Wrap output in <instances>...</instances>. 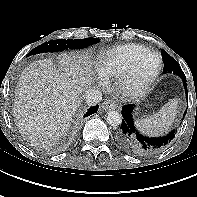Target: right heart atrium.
<instances>
[{"instance_id":"1","label":"right heart atrium","mask_w":197,"mask_h":197,"mask_svg":"<svg viewBox=\"0 0 197 197\" xmlns=\"http://www.w3.org/2000/svg\"><path fill=\"white\" fill-rule=\"evenodd\" d=\"M99 85H103V82L101 80H98Z\"/></svg>"}]
</instances>
